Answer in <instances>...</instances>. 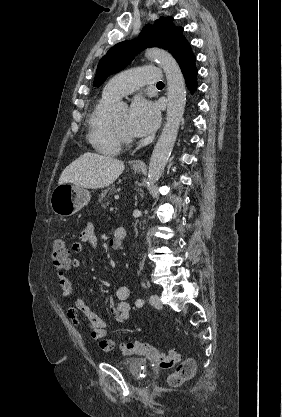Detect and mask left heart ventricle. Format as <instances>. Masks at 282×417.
Segmentation results:
<instances>
[{
    "label": "left heart ventricle",
    "mask_w": 282,
    "mask_h": 417,
    "mask_svg": "<svg viewBox=\"0 0 282 417\" xmlns=\"http://www.w3.org/2000/svg\"><path fill=\"white\" fill-rule=\"evenodd\" d=\"M115 122L119 128H121L125 133L130 134L126 127V120H127V111H118L113 114Z\"/></svg>",
    "instance_id": "left-heart-ventricle-1"
}]
</instances>
